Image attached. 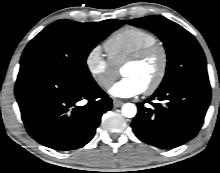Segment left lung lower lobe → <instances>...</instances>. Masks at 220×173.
Instances as JSON below:
<instances>
[{
  "mask_svg": "<svg viewBox=\"0 0 220 173\" xmlns=\"http://www.w3.org/2000/svg\"><path fill=\"white\" fill-rule=\"evenodd\" d=\"M211 98L208 83H182L156 90L145 102L138 103V113L131 127L143 142L162 149L178 147L194 138L200 130ZM152 100L165 101L164 105Z\"/></svg>",
  "mask_w": 220,
  "mask_h": 173,
  "instance_id": "0a47b994",
  "label": "left lung lower lobe"
}]
</instances>
